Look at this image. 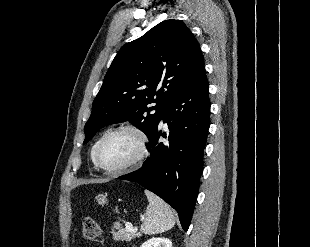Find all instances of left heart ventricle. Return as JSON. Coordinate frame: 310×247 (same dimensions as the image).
Returning a JSON list of instances; mask_svg holds the SVG:
<instances>
[{"label": "left heart ventricle", "instance_id": "left-heart-ventricle-1", "mask_svg": "<svg viewBox=\"0 0 310 247\" xmlns=\"http://www.w3.org/2000/svg\"><path fill=\"white\" fill-rule=\"evenodd\" d=\"M137 138L130 132H119L108 138L99 152L100 163L114 168L130 161L137 153Z\"/></svg>", "mask_w": 310, "mask_h": 247}]
</instances>
